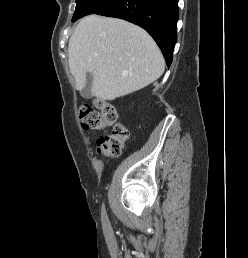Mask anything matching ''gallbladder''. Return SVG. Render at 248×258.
Wrapping results in <instances>:
<instances>
[{
	"label": "gallbladder",
	"mask_w": 248,
	"mask_h": 258,
	"mask_svg": "<svg viewBox=\"0 0 248 258\" xmlns=\"http://www.w3.org/2000/svg\"><path fill=\"white\" fill-rule=\"evenodd\" d=\"M93 77L92 74L87 72L86 74V83L84 88L81 90V94L84 98L91 97V86H92Z\"/></svg>",
	"instance_id": "bac80fb5"
}]
</instances>
